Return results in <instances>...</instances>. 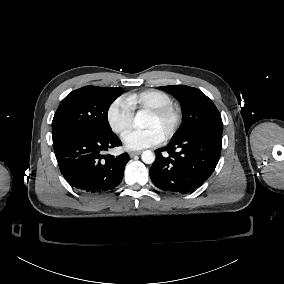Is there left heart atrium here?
<instances>
[{
    "mask_svg": "<svg viewBox=\"0 0 284 284\" xmlns=\"http://www.w3.org/2000/svg\"><path fill=\"white\" fill-rule=\"evenodd\" d=\"M162 135L154 128L143 130L130 129L122 136L124 148L139 150L158 145L162 142Z\"/></svg>",
    "mask_w": 284,
    "mask_h": 284,
    "instance_id": "1",
    "label": "left heart atrium"
}]
</instances>
